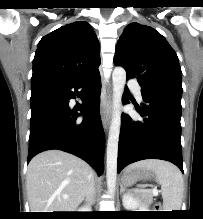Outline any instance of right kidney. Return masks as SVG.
<instances>
[{
    "label": "right kidney",
    "mask_w": 203,
    "mask_h": 219,
    "mask_svg": "<svg viewBox=\"0 0 203 219\" xmlns=\"http://www.w3.org/2000/svg\"><path fill=\"white\" fill-rule=\"evenodd\" d=\"M77 212H90V207H81L77 210Z\"/></svg>",
    "instance_id": "1"
}]
</instances>
